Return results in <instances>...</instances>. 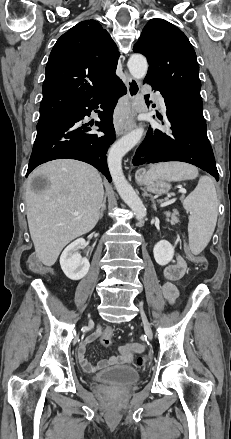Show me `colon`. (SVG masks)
Segmentation results:
<instances>
[{"label":"colon","instance_id":"obj_1","mask_svg":"<svg viewBox=\"0 0 231 439\" xmlns=\"http://www.w3.org/2000/svg\"><path fill=\"white\" fill-rule=\"evenodd\" d=\"M186 251H187V255H188V257H189L191 260H193L194 262H196V263L199 264V265L205 266L206 261H205V259H204L203 257L194 256V255H192L188 250H186ZM29 264H30V267H31L33 270H36V271H40V270H41V266H40L35 260H31ZM111 336H112V333H111V332H107L106 334H104V335H103V338H102L103 343L106 344V345H108V344L110 343ZM143 363H144L143 358L139 357V358L137 359V364H138L139 366H142Z\"/></svg>","mask_w":231,"mask_h":439}]
</instances>
